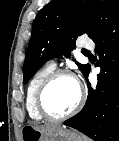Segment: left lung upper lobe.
Here are the masks:
<instances>
[{
	"label": "left lung upper lobe",
	"mask_w": 119,
	"mask_h": 141,
	"mask_svg": "<svg viewBox=\"0 0 119 141\" xmlns=\"http://www.w3.org/2000/svg\"><path fill=\"white\" fill-rule=\"evenodd\" d=\"M119 9V0H52L32 25V36L23 66L24 83L49 59L70 57L78 36L90 38ZM83 75L89 65L76 62Z\"/></svg>",
	"instance_id": "obj_1"
}]
</instances>
